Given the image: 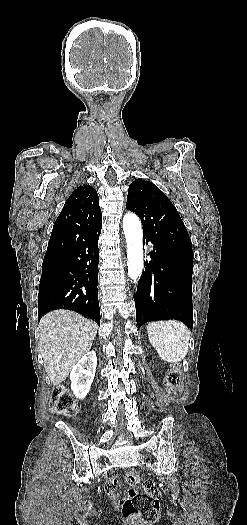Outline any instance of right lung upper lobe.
Returning <instances> with one entry per match:
<instances>
[{"label": "right lung upper lobe", "mask_w": 247, "mask_h": 525, "mask_svg": "<svg viewBox=\"0 0 247 525\" xmlns=\"http://www.w3.org/2000/svg\"><path fill=\"white\" fill-rule=\"evenodd\" d=\"M102 215L96 190L79 186L73 191L56 219L45 258L68 253L101 232Z\"/></svg>", "instance_id": "1"}]
</instances>
